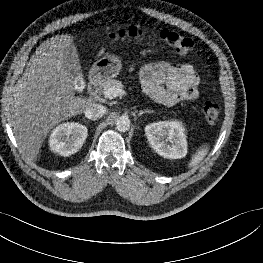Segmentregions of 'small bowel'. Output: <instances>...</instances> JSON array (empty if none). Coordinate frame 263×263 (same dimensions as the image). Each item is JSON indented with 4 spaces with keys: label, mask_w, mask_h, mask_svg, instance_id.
Masks as SVG:
<instances>
[{
    "label": "small bowel",
    "mask_w": 263,
    "mask_h": 263,
    "mask_svg": "<svg viewBox=\"0 0 263 263\" xmlns=\"http://www.w3.org/2000/svg\"><path fill=\"white\" fill-rule=\"evenodd\" d=\"M143 92L157 103L172 106L198 97L199 77L190 64L145 63L140 69Z\"/></svg>",
    "instance_id": "obj_1"
}]
</instances>
